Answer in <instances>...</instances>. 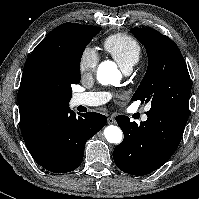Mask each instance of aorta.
<instances>
[{"instance_id":"762f6f07","label":"aorta","mask_w":199,"mask_h":199,"mask_svg":"<svg viewBox=\"0 0 199 199\" xmlns=\"http://www.w3.org/2000/svg\"><path fill=\"white\" fill-rule=\"evenodd\" d=\"M97 78L101 84L107 85L119 82L121 74L114 64L105 62L99 66ZM104 135L108 142L114 144H119L123 138L121 129L113 125L105 128Z\"/></svg>"}]
</instances>
